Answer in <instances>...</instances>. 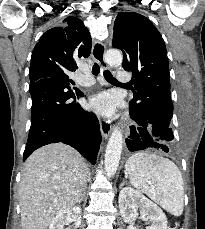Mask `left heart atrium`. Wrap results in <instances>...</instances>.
<instances>
[{"instance_id":"1","label":"left heart atrium","mask_w":205,"mask_h":229,"mask_svg":"<svg viewBox=\"0 0 205 229\" xmlns=\"http://www.w3.org/2000/svg\"><path fill=\"white\" fill-rule=\"evenodd\" d=\"M89 107L97 113L111 115L116 109V98L110 92H102L90 99Z\"/></svg>"}]
</instances>
